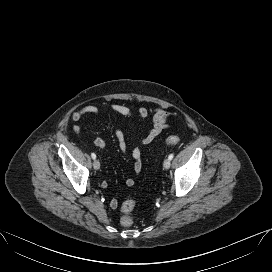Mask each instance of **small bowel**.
<instances>
[{
    "label": "small bowel",
    "instance_id": "c3829d8e",
    "mask_svg": "<svg viewBox=\"0 0 272 272\" xmlns=\"http://www.w3.org/2000/svg\"><path fill=\"white\" fill-rule=\"evenodd\" d=\"M105 115H120L127 118H132L134 116V112L127 106L121 104H113L104 110ZM100 113V109L96 106H85L72 114V119L74 121H79L85 116H96ZM150 113L152 114V127L149 132L140 139L139 143L141 145H148L152 143L164 130L168 128V119L170 117V113L160 107H153L152 109H148L146 107H140L137 110V116L141 120H146ZM114 135L117 139L119 149L122 153L127 151V143L125 140L124 132L121 129L116 128L114 130ZM94 146L98 149H104L106 147V142L101 137H96L93 141ZM132 157L134 160V172L139 174L142 171V154L139 146H134L132 148ZM135 183L133 178H127L125 184L128 187L133 186ZM107 184L102 183V187H106ZM110 207L112 209L117 208L118 201L116 199H112L110 201Z\"/></svg>",
    "mask_w": 272,
    "mask_h": 272
}]
</instances>
